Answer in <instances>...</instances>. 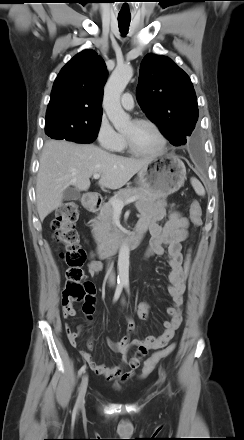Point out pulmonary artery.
I'll return each instance as SVG.
<instances>
[{"mask_svg": "<svg viewBox=\"0 0 244 440\" xmlns=\"http://www.w3.org/2000/svg\"><path fill=\"white\" fill-rule=\"evenodd\" d=\"M121 105L126 110H131L134 107V100L131 93L126 92L122 95Z\"/></svg>", "mask_w": 244, "mask_h": 440, "instance_id": "pulmonary-artery-1", "label": "pulmonary artery"}]
</instances>
